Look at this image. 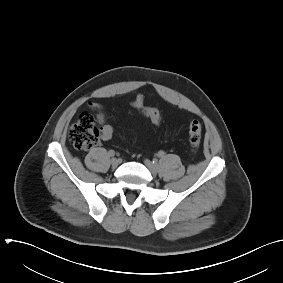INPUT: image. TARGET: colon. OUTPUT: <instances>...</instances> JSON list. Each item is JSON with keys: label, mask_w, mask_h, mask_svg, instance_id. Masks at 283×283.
<instances>
[{"label": "colon", "mask_w": 283, "mask_h": 283, "mask_svg": "<svg viewBox=\"0 0 283 283\" xmlns=\"http://www.w3.org/2000/svg\"><path fill=\"white\" fill-rule=\"evenodd\" d=\"M142 115L147 117L155 125L161 123V115L155 108L140 107ZM189 142L193 151H196L202 140V127L198 121H192L188 129ZM71 144L79 150H87L94 147L100 140H111L114 129L110 124H104L98 128L94 117L88 113H82L77 121L72 124L68 132Z\"/></svg>", "instance_id": "5ec220e1"}]
</instances>
